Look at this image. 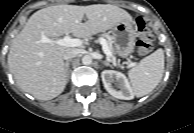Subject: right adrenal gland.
<instances>
[{"label": "right adrenal gland", "mask_w": 194, "mask_h": 133, "mask_svg": "<svg viewBox=\"0 0 194 133\" xmlns=\"http://www.w3.org/2000/svg\"><path fill=\"white\" fill-rule=\"evenodd\" d=\"M69 64H70V60H68V61L65 62L66 78H67V80H68V78H69V71H70V69H69Z\"/></svg>", "instance_id": "obj_1"}]
</instances>
